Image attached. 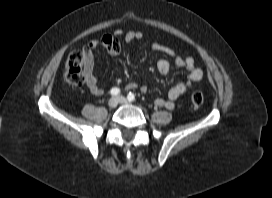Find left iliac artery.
I'll use <instances>...</instances> for the list:
<instances>
[{
  "instance_id": "1",
  "label": "left iliac artery",
  "mask_w": 272,
  "mask_h": 198,
  "mask_svg": "<svg viewBox=\"0 0 272 198\" xmlns=\"http://www.w3.org/2000/svg\"><path fill=\"white\" fill-rule=\"evenodd\" d=\"M127 98H128L129 101H134V100H135V95H134L133 93L130 92V93L127 95Z\"/></svg>"
}]
</instances>
